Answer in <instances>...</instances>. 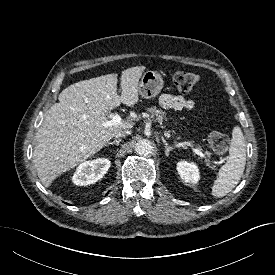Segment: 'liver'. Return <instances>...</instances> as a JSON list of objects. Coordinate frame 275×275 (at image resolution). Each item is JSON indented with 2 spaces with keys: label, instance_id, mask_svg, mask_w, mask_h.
Masks as SVG:
<instances>
[{
  "label": "liver",
  "instance_id": "obj_1",
  "mask_svg": "<svg viewBox=\"0 0 275 275\" xmlns=\"http://www.w3.org/2000/svg\"><path fill=\"white\" fill-rule=\"evenodd\" d=\"M144 70V66H137L122 72L121 95L117 93L115 73L77 82L59 94V103L47 110L37 130L33 151V162L44 186L93 156L119 131L135 125L129 118L112 126L105 123L110 111L121 103L131 107L138 102Z\"/></svg>",
  "mask_w": 275,
  "mask_h": 275
}]
</instances>
